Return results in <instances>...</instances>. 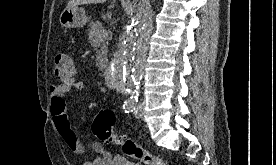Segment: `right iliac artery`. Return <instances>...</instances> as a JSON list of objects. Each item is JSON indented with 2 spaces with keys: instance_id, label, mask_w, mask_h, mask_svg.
<instances>
[{
  "instance_id": "obj_1",
  "label": "right iliac artery",
  "mask_w": 276,
  "mask_h": 165,
  "mask_svg": "<svg viewBox=\"0 0 276 165\" xmlns=\"http://www.w3.org/2000/svg\"><path fill=\"white\" fill-rule=\"evenodd\" d=\"M137 100H127L124 102L123 109L125 113L133 112L137 106Z\"/></svg>"
}]
</instances>
